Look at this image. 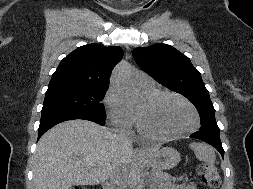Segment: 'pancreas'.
Returning <instances> with one entry per match:
<instances>
[{
    "mask_svg": "<svg viewBox=\"0 0 253 189\" xmlns=\"http://www.w3.org/2000/svg\"><path fill=\"white\" fill-rule=\"evenodd\" d=\"M155 182L159 187L169 186L171 182H175L177 180H182L183 177L175 178L168 173L163 172L162 170H154L153 171Z\"/></svg>",
    "mask_w": 253,
    "mask_h": 189,
    "instance_id": "1",
    "label": "pancreas"
}]
</instances>
